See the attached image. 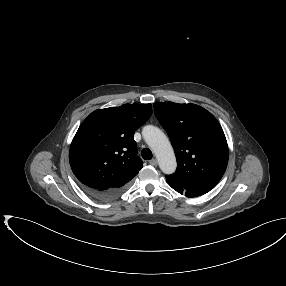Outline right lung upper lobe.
I'll return each mask as SVG.
<instances>
[{
  "label": "right lung upper lobe",
  "instance_id": "obj_1",
  "mask_svg": "<svg viewBox=\"0 0 286 286\" xmlns=\"http://www.w3.org/2000/svg\"><path fill=\"white\" fill-rule=\"evenodd\" d=\"M151 104H124L92 112L70 146L73 173L83 186L98 190L126 188L143 166L135 131L151 116Z\"/></svg>",
  "mask_w": 286,
  "mask_h": 286
}]
</instances>
